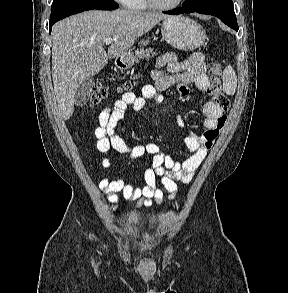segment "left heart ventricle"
Masks as SVG:
<instances>
[{"instance_id":"left-heart-ventricle-1","label":"left heart ventricle","mask_w":288,"mask_h":293,"mask_svg":"<svg viewBox=\"0 0 288 293\" xmlns=\"http://www.w3.org/2000/svg\"><path fill=\"white\" fill-rule=\"evenodd\" d=\"M156 1L161 4H170V3H173L175 0H156Z\"/></svg>"}]
</instances>
